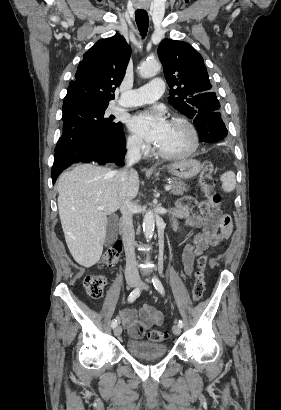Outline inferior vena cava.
Returning <instances> with one entry per match:
<instances>
[{
  "mask_svg": "<svg viewBox=\"0 0 281 410\" xmlns=\"http://www.w3.org/2000/svg\"><path fill=\"white\" fill-rule=\"evenodd\" d=\"M141 158L140 143L138 141H130L127 143V153L125 156L126 166L115 171V182L120 190V211L122 214L121 220V233L126 254V280L140 281L137 263L135 258L134 239L135 232L133 227V204L129 198H127V187L129 174L134 171L132 166L137 163Z\"/></svg>",
  "mask_w": 281,
  "mask_h": 410,
  "instance_id": "1",
  "label": "inferior vena cava"
}]
</instances>
